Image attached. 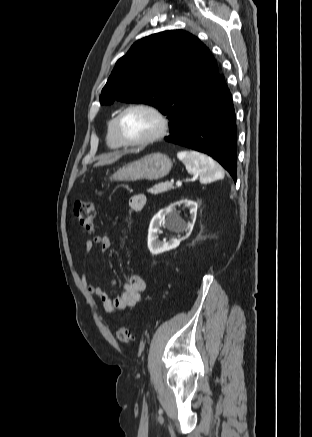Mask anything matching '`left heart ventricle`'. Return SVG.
I'll use <instances>...</instances> for the list:
<instances>
[{
  "mask_svg": "<svg viewBox=\"0 0 312 437\" xmlns=\"http://www.w3.org/2000/svg\"><path fill=\"white\" fill-rule=\"evenodd\" d=\"M159 127L157 118L147 110L133 109L122 118L121 129L131 140H140L153 135Z\"/></svg>",
  "mask_w": 312,
  "mask_h": 437,
  "instance_id": "obj_1",
  "label": "left heart ventricle"
}]
</instances>
